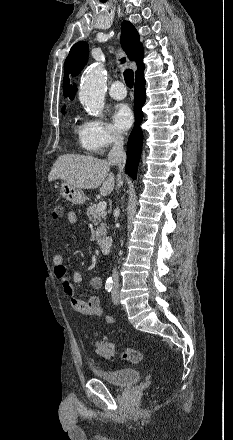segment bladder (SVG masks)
Instances as JSON below:
<instances>
[{
	"mask_svg": "<svg viewBox=\"0 0 233 440\" xmlns=\"http://www.w3.org/2000/svg\"><path fill=\"white\" fill-rule=\"evenodd\" d=\"M92 372L95 377L105 381L110 385L119 387L134 385L140 379L139 371L134 368L108 370L97 366H92Z\"/></svg>",
	"mask_w": 233,
	"mask_h": 440,
	"instance_id": "31cf9c89",
	"label": "bladder"
}]
</instances>
